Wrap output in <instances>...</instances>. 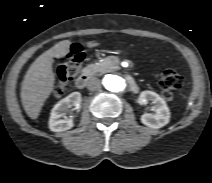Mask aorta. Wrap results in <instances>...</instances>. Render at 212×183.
I'll list each match as a JSON object with an SVG mask.
<instances>
[{"mask_svg": "<svg viewBox=\"0 0 212 183\" xmlns=\"http://www.w3.org/2000/svg\"><path fill=\"white\" fill-rule=\"evenodd\" d=\"M102 83L105 89L112 93H121L127 87L126 80L123 77L112 74L106 75Z\"/></svg>", "mask_w": 212, "mask_h": 183, "instance_id": "obj_1", "label": "aorta"}]
</instances>
